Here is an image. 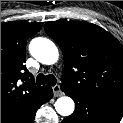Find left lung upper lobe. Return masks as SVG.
<instances>
[{
	"label": "left lung upper lobe",
	"mask_w": 123,
	"mask_h": 123,
	"mask_svg": "<svg viewBox=\"0 0 123 123\" xmlns=\"http://www.w3.org/2000/svg\"><path fill=\"white\" fill-rule=\"evenodd\" d=\"M44 29L64 56L61 86L123 107V46L112 34L85 21H50Z\"/></svg>",
	"instance_id": "obj_1"
}]
</instances>
